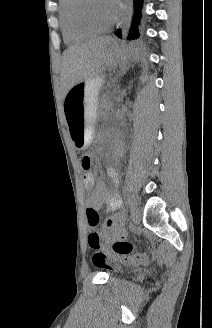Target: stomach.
I'll list each match as a JSON object with an SVG mask.
<instances>
[{
	"instance_id": "1",
	"label": "stomach",
	"mask_w": 212,
	"mask_h": 328,
	"mask_svg": "<svg viewBox=\"0 0 212 328\" xmlns=\"http://www.w3.org/2000/svg\"><path fill=\"white\" fill-rule=\"evenodd\" d=\"M102 77L81 81L65 95L66 123L74 146L85 149L91 143Z\"/></svg>"
}]
</instances>
